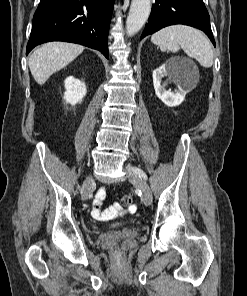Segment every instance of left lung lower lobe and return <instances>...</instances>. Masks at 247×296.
I'll return each instance as SVG.
<instances>
[{"mask_svg": "<svg viewBox=\"0 0 247 296\" xmlns=\"http://www.w3.org/2000/svg\"><path fill=\"white\" fill-rule=\"evenodd\" d=\"M174 24L189 25L202 30L215 46L210 17L203 0H155L140 39Z\"/></svg>", "mask_w": 247, "mask_h": 296, "instance_id": "0a47b994", "label": "left lung lower lobe"}]
</instances>
